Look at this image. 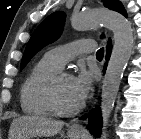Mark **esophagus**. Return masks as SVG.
Masks as SVG:
<instances>
[{"mask_svg": "<svg viewBox=\"0 0 141 139\" xmlns=\"http://www.w3.org/2000/svg\"><path fill=\"white\" fill-rule=\"evenodd\" d=\"M71 129L72 130H75V131H85V128L82 124H79V123H74L72 126H71Z\"/></svg>", "mask_w": 141, "mask_h": 139, "instance_id": "1", "label": "esophagus"}]
</instances>
